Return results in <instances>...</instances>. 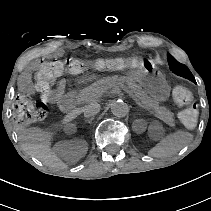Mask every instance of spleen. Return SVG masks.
Masks as SVG:
<instances>
[{"instance_id":"1","label":"spleen","mask_w":211,"mask_h":211,"mask_svg":"<svg viewBox=\"0 0 211 211\" xmlns=\"http://www.w3.org/2000/svg\"><path fill=\"white\" fill-rule=\"evenodd\" d=\"M192 141V133L180 130L163 137L147 154L154 158H167L179 152Z\"/></svg>"}]
</instances>
